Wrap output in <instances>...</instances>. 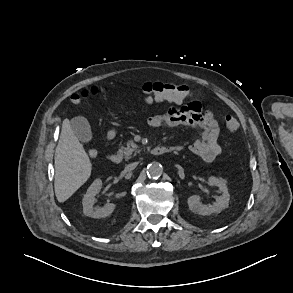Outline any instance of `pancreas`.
<instances>
[{"mask_svg": "<svg viewBox=\"0 0 293 293\" xmlns=\"http://www.w3.org/2000/svg\"><path fill=\"white\" fill-rule=\"evenodd\" d=\"M121 152L123 153L126 160L130 159L132 155L138 152V146L132 141H128L126 147H122Z\"/></svg>", "mask_w": 293, "mask_h": 293, "instance_id": "cf45deb5", "label": "pancreas"}]
</instances>
